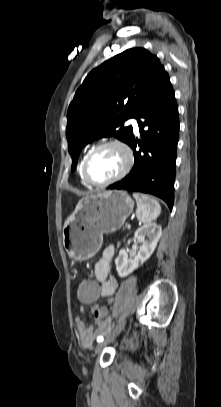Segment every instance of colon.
<instances>
[{
    "instance_id": "obj_1",
    "label": "colon",
    "mask_w": 221,
    "mask_h": 407,
    "mask_svg": "<svg viewBox=\"0 0 221 407\" xmlns=\"http://www.w3.org/2000/svg\"><path fill=\"white\" fill-rule=\"evenodd\" d=\"M75 299L79 300L81 306H95L96 300L100 299L101 284L96 277H83L82 283H76ZM110 307L100 305L94 310L96 319L101 320L108 316Z\"/></svg>"
}]
</instances>
